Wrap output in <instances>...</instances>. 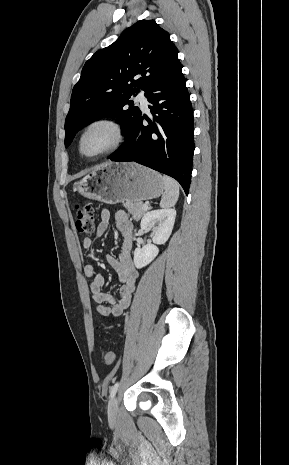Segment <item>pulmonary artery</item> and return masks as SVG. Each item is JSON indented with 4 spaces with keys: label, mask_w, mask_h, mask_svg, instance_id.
I'll use <instances>...</instances> for the list:
<instances>
[{
    "label": "pulmonary artery",
    "mask_w": 289,
    "mask_h": 465,
    "mask_svg": "<svg viewBox=\"0 0 289 465\" xmlns=\"http://www.w3.org/2000/svg\"><path fill=\"white\" fill-rule=\"evenodd\" d=\"M136 100L140 102L141 106L143 109L147 110L148 109V100L147 97L145 96L144 92H139Z\"/></svg>",
    "instance_id": "pulmonary-artery-1"
}]
</instances>
